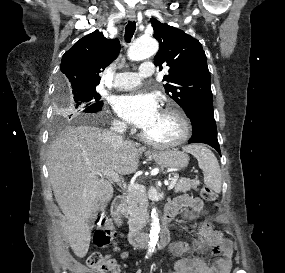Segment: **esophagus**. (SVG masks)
Masks as SVG:
<instances>
[{
  "label": "esophagus",
  "instance_id": "esophagus-1",
  "mask_svg": "<svg viewBox=\"0 0 285 273\" xmlns=\"http://www.w3.org/2000/svg\"><path fill=\"white\" fill-rule=\"evenodd\" d=\"M128 18L131 20V21H134L136 19V14L134 11H129L128 12Z\"/></svg>",
  "mask_w": 285,
  "mask_h": 273
}]
</instances>
